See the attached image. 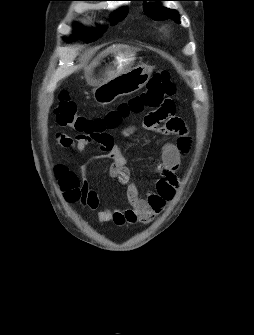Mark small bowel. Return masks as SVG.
<instances>
[{"label":"small bowel","instance_id":"c3829d8e","mask_svg":"<svg viewBox=\"0 0 254 335\" xmlns=\"http://www.w3.org/2000/svg\"><path fill=\"white\" fill-rule=\"evenodd\" d=\"M176 105L171 98H163L158 108H149V113L144 120L143 127L146 131L163 134L177 135L175 142H167L161 150L159 173L161 178L155 190L149 192L146 198L142 197L137 186L133 183L127 160L118 142L111 137L109 150L106 154L91 157L87 162L80 164L77 171H71L64 165H58L55 175L68 202L81 201L82 205L91 210L99 207L100 200L97 194L87 185L88 167L98 160H110L109 175L112 179L126 185V198L129 208L120 210L102 207L96 213L98 222H114L116 225L149 223L153 217L160 213L170 202L178 188L177 176L181 160L190 150L191 140L187 133L185 123L175 116ZM155 120V121H154ZM131 127L137 126L136 120L130 121ZM121 138L127 137L126 131L120 132ZM58 143L65 148H73L78 152L85 150L91 142L67 135L57 137ZM95 143V142H94ZM80 196L75 197L76 191Z\"/></svg>","mask_w":254,"mask_h":335}]
</instances>
